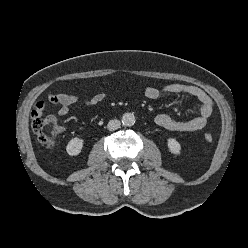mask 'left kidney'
<instances>
[{
	"label": "left kidney",
	"mask_w": 248,
	"mask_h": 248,
	"mask_svg": "<svg viewBox=\"0 0 248 248\" xmlns=\"http://www.w3.org/2000/svg\"><path fill=\"white\" fill-rule=\"evenodd\" d=\"M167 146L172 154H176V155L180 154L181 146L179 142L174 138H169L167 140Z\"/></svg>",
	"instance_id": "1"
}]
</instances>
